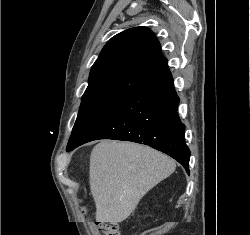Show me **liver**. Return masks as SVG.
Returning a JSON list of instances; mask_svg holds the SVG:
<instances>
[{"label": "liver", "mask_w": 250, "mask_h": 235, "mask_svg": "<svg viewBox=\"0 0 250 235\" xmlns=\"http://www.w3.org/2000/svg\"><path fill=\"white\" fill-rule=\"evenodd\" d=\"M175 162L150 147L104 140L90 155L89 183L98 222H122L141 198L170 176Z\"/></svg>", "instance_id": "obj_1"}]
</instances>
